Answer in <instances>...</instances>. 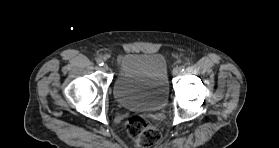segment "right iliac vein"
Masks as SVG:
<instances>
[{"mask_svg": "<svg viewBox=\"0 0 279 148\" xmlns=\"http://www.w3.org/2000/svg\"><path fill=\"white\" fill-rule=\"evenodd\" d=\"M102 69H103L104 71H108L109 67H108L107 64H104V65L102 66Z\"/></svg>", "mask_w": 279, "mask_h": 148, "instance_id": "obj_1", "label": "right iliac vein"}]
</instances>
